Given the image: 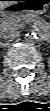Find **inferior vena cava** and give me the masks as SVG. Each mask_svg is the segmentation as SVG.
Listing matches in <instances>:
<instances>
[{
    "instance_id": "inferior-vena-cava-1",
    "label": "inferior vena cava",
    "mask_w": 50,
    "mask_h": 111,
    "mask_svg": "<svg viewBox=\"0 0 50 111\" xmlns=\"http://www.w3.org/2000/svg\"><path fill=\"white\" fill-rule=\"evenodd\" d=\"M19 36V31L18 30H7L1 34V38L6 40V41H12L16 39Z\"/></svg>"
}]
</instances>
